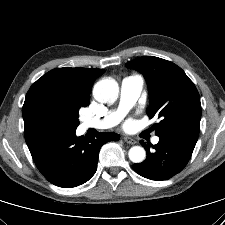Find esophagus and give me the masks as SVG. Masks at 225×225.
Returning a JSON list of instances; mask_svg holds the SVG:
<instances>
[{
	"label": "esophagus",
	"instance_id": "34e87169",
	"mask_svg": "<svg viewBox=\"0 0 225 225\" xmlns=\"http://www.w3.org/2000/svg\"><path fill=\"white\" fill-rule=\"evenodd\" d=\"M124 141L128 144H136V140L132 137H129V136H124L123 137Z\"/></svg>",
	"mask_w": 225,
	"mask_h": 225
}]
</instances>
